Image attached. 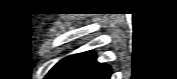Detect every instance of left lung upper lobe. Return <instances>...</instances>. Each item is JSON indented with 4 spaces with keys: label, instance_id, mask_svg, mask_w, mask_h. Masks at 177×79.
Listing matches in <instances>:
<instances>
[{
    "label": "left lung upper lobe",
    "instance_id": "left-lung-upper-lobe-1",
    "mask_svg": "<svg viewBox=\"0 0 177 79\" xmlns=\"http://www.w3.org/2000/svg\"><path fill=\"white\" fill-rule=\"evenodd\" d=\"M63 62V60H61L59 63H57L47 74V76L45 77L46 79L49 78V76H51L56 70L57 68L60 66V64Z\"/></svg>",
    "mask_w": 177,
    "mask_h": 79
}]
</instances>
